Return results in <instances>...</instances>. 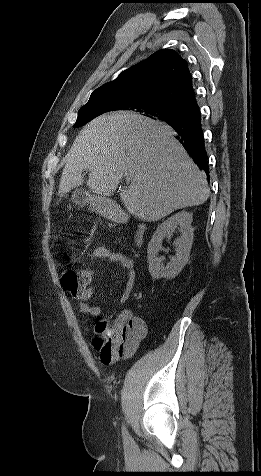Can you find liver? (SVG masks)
Here are the masks:
<instances>
[{
    "label": "liver",
    "mask_w": 261,
    "mask_h": 476,
    "mask_svg": "<svg viewBox=\"0 0 261 476\" xmlns=\"http://www.w3.org/2000/svg\"><path fill=\"white\" fill-rule=\"evenodd\" d=\"M170 126L133 112L103 114L88 123L65 157L58 194L83 184L110 196L122 178L120 198L127 211L157 221L174 210L203 204L210 191Z\"/></svg>",
    "instance_id": "6515ba94"
}]
</instances>
